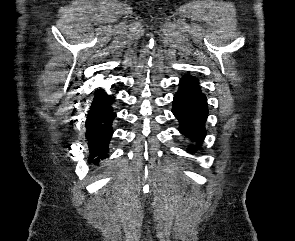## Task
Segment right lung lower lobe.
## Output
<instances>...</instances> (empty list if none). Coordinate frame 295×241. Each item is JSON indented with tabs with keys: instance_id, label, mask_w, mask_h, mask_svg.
Here are the masks:
<instances>
[{
	"instance_id": "1",
	"label": "right lung lower lobe",
	"mask_w": 295,
	"mask_h": 241,
	"mask_svg": "<svg viewBox=\"0 0 295 241\" xmlns=\"http://www.w3.org/2000/svg\"><path fill=\"white\" fill-rule=\"evenodd\" d=\"M114 98L107 95L103 89L95 92L85 127L86 138L90 150L89 162L98 165L100 160L107 157L108 145L112 136V122L116 114L111 104Z\"/></svg>"
}]
</instances>
